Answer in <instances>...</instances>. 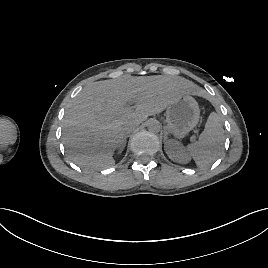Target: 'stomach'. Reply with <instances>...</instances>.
<instances>
[{
  "instance_id": "stomach-1",
  "label": "stomach",
  "mask_w": 268,
  "mask_h": 268,
  "mask_svg": "<svg viewBox=\"0 0 268 268\" xmlns=\"http://www.w3.org/2000/svg\"><path fill=\"white\" fill-rule=\"evenodd\" d=\"M200 109L189 94L179 96L166 111V122L170 133L177 138L185 137L199 122Z\"/></svg>"
}]
</instances>
